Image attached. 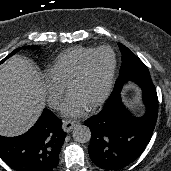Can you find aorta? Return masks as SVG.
Wrapping results in <instances>:
<instances>
[{
    "label": "aorta",
    "instance_id": "obj_1",
    "mask_svg": "<svg viewBox=\"0 0 171 171\" xmlns=\"http://www.w3.org/2000/svg\"><path fill=\"white\" fill-rule=\"evenodd\" d=\"M72 136L78 143H87L91 138L90 128L86 125H76L73 129Z\"/></svg>",
    "mask_w": 171,
    "mask_h": 171
}]
</instances>
